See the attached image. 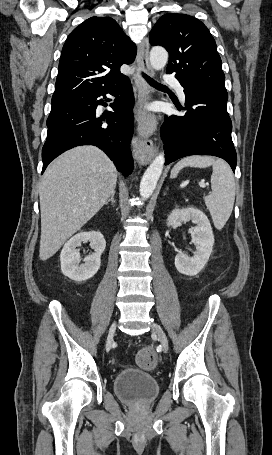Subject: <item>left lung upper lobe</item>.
Here are the masks:
<instances>
[{
	"label": "left lung upper lobe",
	"instance_id": "left-lung-upper-lobe-1",
	"mask_svg": "<svg viewBox=\"0 0 272 455\" xmlns=\"http://www.w3.org/2000/svg\"><path fill=\"white\" fill-rule=\"evenodd\" d=\"M151 45L169 52L168 74L181 84H203L225 88V75L216 43L207 27L185 14H165L150 32Z\"/></svg>",
	"mask_w": 272,
	"mask_h": 455
}]
</instances>
